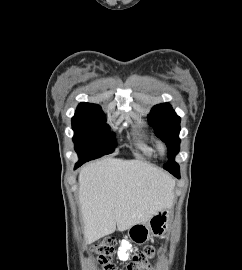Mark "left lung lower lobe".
I'll return each mask as SVG.
<instances>
[{"instance_id": "0a47b994", "label": "left lung lower lobe", "mask_w": 242, "mask_h": 270, "mask_svg": "<svg viewBox=\"0 0 242 270\" xmlns=\"http://www.w3.org/2000/svg\"><path fill=\"white\" fill-rule=\"evenodd\" d=\"M177 178H180V176L178 175V176H176Z\"/></svg>"}]
</instances>
